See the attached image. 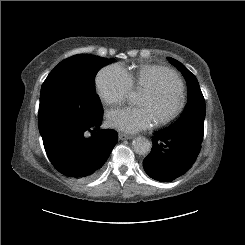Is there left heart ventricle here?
I'll use <instances>...</instances> for the list:
<instances>
[{
	"mask_svg": "<svg viewBox=\"0 0 245 245\" xmlns=\"http://www.w3.org/2000/svg\"><path fill=\"white\" fill-rule=\"evenodd\" d=\"M159 82L167 85L165 93L160 98H155L149 93L144 92L140 103L141 106L151 111L154 118L170 111L176 103L175 88L172 79L169 76L161 75Z\"/></svg>",
	"mask_w": 245,
	"mask_h": 245,
	"instance_id": "left-heart-ventricle-1",
	"label": "left heart ventricle"
}]
</instances>
